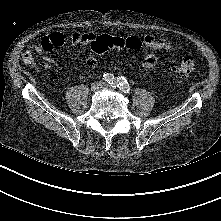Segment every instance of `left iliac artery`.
<instances>
[{"label": "left iliac artery", "mask_w": 221, "mask_h": 221, "mask_svg": "<svg viewBox=\"0 0 221 221\" xmlns=\"http://www.w3.org/2000/svg\"><path fill=\"white\" fill-rule=\"evenodd\" d=\"M111 86H113L114 88L118 87L124 93H128L130 90V86H129L127 80L124 78L115 79L114 84H112Z\"/></svg>", "instance_id": "obj_1"}]
</instances>
